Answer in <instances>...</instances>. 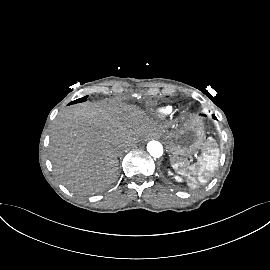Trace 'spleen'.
Returning a JSON list of instances; mask_svg holds the SVG:
<instances>
[{"label": "spleen", "mask_w": 270, "mask_h": 270, "mask_svg": "<svg viewBox=\"0 0 270 270\" xmlns=\"http://www.w3.org/2000/svg\"><path fill=\"white\" fill-rule=\"evenodd\" d=\"M202 157L196 164L189 165L187 162L181 163V171H177L181 175L190 178L193 182L197 179L204 183L207 182L212 172L218 165L219 149L213 139H209L205 142L202 150Z\"/></svg>", "instance_id": "1"}]
</instances>
